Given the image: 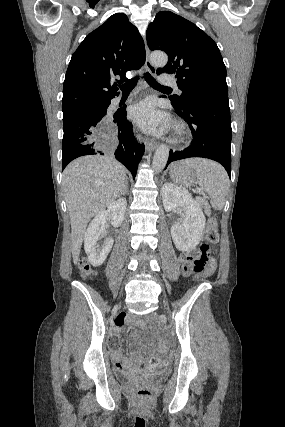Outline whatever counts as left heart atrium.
I'll use <instances>...</instances> for the list:
<instances>
[{"mask_svg": "<svg viewBox=\"0 0 285 427\" xmlns=\"http://www.w3.org/2000/svg\"><path fill=\"white\" fill-rule=\"evenodd\" d=\"M131 119L146 130H163L167 126L166 117L156 109L152 100L146 99L130 109Z\"/></svg>", "mask_w": 285, "mask_h": 427, "instance_id": "left-heart-atrium-1", "label": "left heart atrium"}]
</instances>
